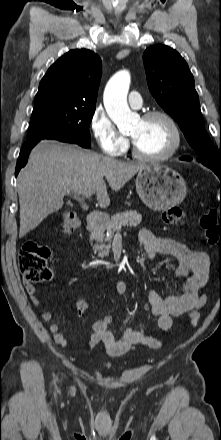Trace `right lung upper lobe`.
I'll return each mask as SVG.
<instances>
[{
  "label": "right lung upper lobe",
  "instance_id": "obj_1",
  "mask_svg": "<svg viewBox=\"0 0 221 440\" xmlns=\"http://www.w3.org/2000/svg\"><path fill=\"white\" fill-rule=\"evenodd\" d=\"M102 73L100 57L88 49L71 50L60 57L39 84L35 103L58 101L96 106Z\"/></svg>",
  "mask_w": 221,
  "mask_h": 440
}]
</instances>
